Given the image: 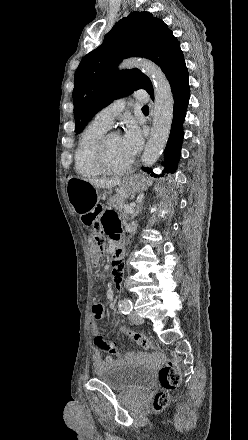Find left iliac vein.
<instances>
[{
  "mask_svg": "<svg viewBox=\"0 0 248 440\" xmlns=\"http://www.w3.org/2000/svg\"><path fill=\"white\" fill-rule=\"evenodd\" d=\"M129 320L133 323V324H142L144 322L143 318L140 317L136 312H131L129 314Z\"/></svg>",
  "mask_w": 248,
  "mask_h": 440,
  "instance_id": "4c4485c4",
  "label": "left iliac vein"
}]
</instances>
